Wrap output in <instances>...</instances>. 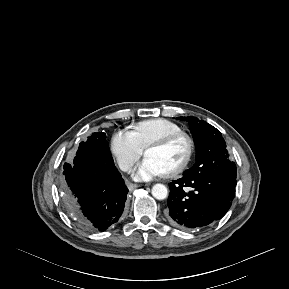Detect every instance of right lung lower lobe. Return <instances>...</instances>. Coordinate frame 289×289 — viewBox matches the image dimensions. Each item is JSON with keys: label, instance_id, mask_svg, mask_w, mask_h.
Masks as SVG:
<instances>
[{"label": "right lung lower lobe", "instance_id": "1", "mask_svg": "<svg viewBox=\"0 0 289 289\" xmlns=\"http://www.w3.org/2000/svg\"><path fill=\"white\" fill-rule=\"evenodd\" d=\"M63 174L67 207L81 227L104 231L119 220L128 189L113 162L82 155Z\"/></svg>", "mask_w": 289, "mask_h": 289}]
</instances>
